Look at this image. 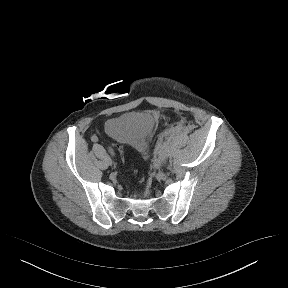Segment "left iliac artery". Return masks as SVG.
<instances>
[{"label":"left iliac artery","instance_id":"left-iliac-artery-1","mask_svg":"<svg viewBox=\"0 0 288 288\" xmlns=\"http://www.w3.org/2000/svg\"><path fill=\"white\" fill-rule=\"evenodd\" d=\"M166 151V146L165 144L161 146L160 148V153H164Z\"/></svg>","mask_w":288,"mask_h":288}]
</instances>
